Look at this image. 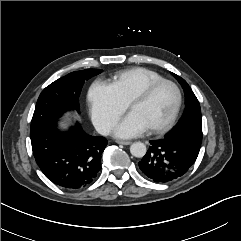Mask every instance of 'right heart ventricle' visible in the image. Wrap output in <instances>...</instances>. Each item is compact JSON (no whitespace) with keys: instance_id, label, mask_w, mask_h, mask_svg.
Here are the masks:
<instances>
[{"instance_id":"obj_1","label":"right heart ventricle","mask_w":241,"mask_h":241,"mask_svg":"<svg viewBox=\"0 0 241 241\" xmlns=\"http://www.w3.org/2000/svg\"><path fill=\"white\" fill-rule=\"evenodd\" d=\"M162 79L163 76L153 70L135 67L117 73L111 84L121 99L128 104L132 97L148 84Z\"/></svg>"}]
</instances>
